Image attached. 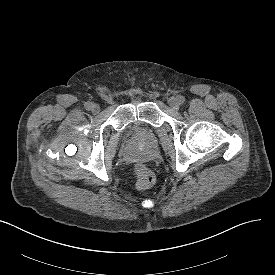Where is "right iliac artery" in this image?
<instances>
[{"instance_id": "right-iliac-artery-1", "label": "right iliac artery", "mask_w": 275, "mask_h": 275, "mask_svg": "<svg viewBox=\"0 0 275 275\" xmlns=\"http://www.w3.org/2000/svg\"><path fill=\"white\" fill-rule=\"evenodd\" d=\"M91 107H92V103L91 102H86L85 103V109L86 110H88V111L91 110Z\"/></svg>"}]
</instances>
